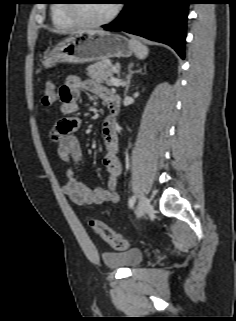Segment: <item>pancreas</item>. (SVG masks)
Segmentation results:
<instances>
[{
    "label": "pancreas",
    "mask_w": 236,
    "mask_h": 321,
    "mask_svg": "<svg viewBox=\"0 0 236 321\" xmlns=\"http://www.w3.org/2000/svg\"><path fill=\"white\" fill-rule=\"evenodd\" d=\"M87 75L96 81L106 83L108 86L113 85L110 80L113 75V66L107 60H101L88 66Z\"/></svg>",
    "instance_id": "cf45deb5"
}]
</instances>
